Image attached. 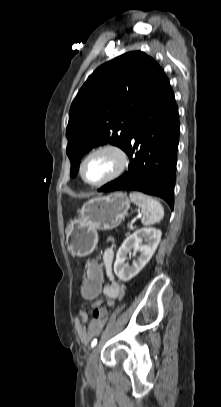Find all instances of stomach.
<instances>
[{
    "mask_svg": "<svg viewBox=\"0 0 221 407\" xmlns=\"http://www.w3.org/2000/svg\"><path fill=\"white\" fill-rule=\"evenodd\" d=\"M130 208L123 192L98 196L85 202L66 229L68 250L74 256H87L98 243L97 230H112L120 225Z\"/></svg>",
    "mask_w": 221,
    "mask_h": 407,
    "instance_id": "obj_1",
    "label": "stomach"
}]
</instances>
